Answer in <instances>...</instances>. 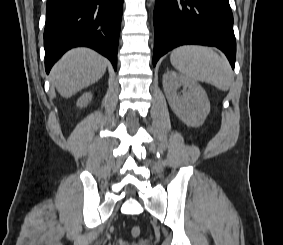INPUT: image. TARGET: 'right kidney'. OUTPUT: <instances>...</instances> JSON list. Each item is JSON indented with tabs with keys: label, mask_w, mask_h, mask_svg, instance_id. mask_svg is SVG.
<instances>
[{
	"label": "right kidney",
	"mask_w": 283,
	"mask_h": 245,
	"mask_svg": "<svg viewBox=\"0 0 283 245\" xmlns=\"http://www.w3.org/2000/svg\"><path fill=\"white\" fill-rule=\"evenodd\" d=\"M92 99V94L90 92L84 93L77 101L78 107H85Z\"/></svg>",
	"instance_id": "obj_1"
}]
</instances>
